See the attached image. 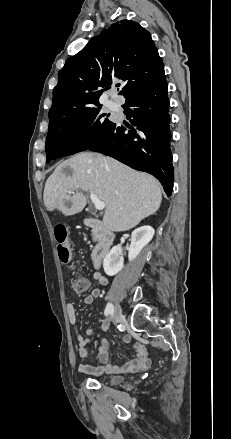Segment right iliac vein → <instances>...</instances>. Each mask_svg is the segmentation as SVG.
I'll return each instance as SVG.
<instances>
[{
	"label": "right iliac vein",
	"instance_id": "63e3f726",
	"mask_svg": "<svg viewBox=\"0 0 231 439\" xmlns=\"http://www.w3.org/2000/svg\"><path fill=\"white\" fill-rule=\"evenodd\" d=\"M122 320V310L120 305L116 304L113 309V321L115 324L119 323Z\"/></svg>",
	"mask_w": 231,
	"mask_h": 439
}]
</instances>
